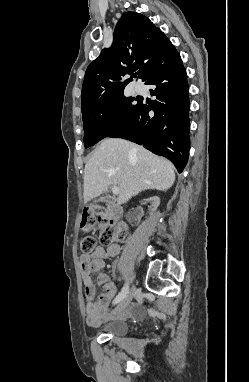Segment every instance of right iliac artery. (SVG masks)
I'll list each match as a JSON object with an SVG mask.
<instances>
[{
	"label": "right iliac artery",
	"mask_w": 249,
	"mask_h": 382,
	"mask_svg": "<svg viewBox=\"0 0 249 382\" xmlns=\"http://www.w3.org/2000/svg\"><path fill=\"white\" fill-rule=\"evenodd\" d=\"M127 292H128V285L125 284L124 287L122 288V290L119 292V294L114 299L113 303L114 304L119 303L126 296Z\"/></svg>",
	"instance_id": "obj_1"
}]
</instances>
